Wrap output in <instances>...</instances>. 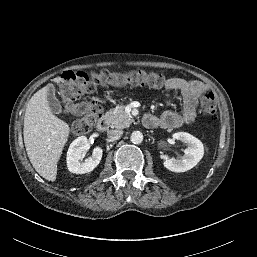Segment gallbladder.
Returning a JSON list of instances; mask_svg holds the SVG:
<instances>
[{"label": "gallbladder", "instance_id": "obj_1", "mask_svg": "<svg viewBox=\"0 0 257 257\" xmlns=\"http://www.w3.org/2000/svg\"><path fill=\"white\" fill-rule=\"evenodd\" d=\"M47 101L51 111L55 114L62 113V106L60 101L55 96V90L52 86H49L48 93H47Z\"/></svg>", "mask_w": 257, "mask_h": 257}]
</instances>
